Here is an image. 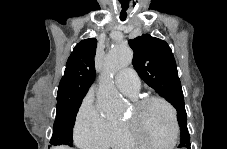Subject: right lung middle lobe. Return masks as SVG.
Wrapping results in <instances>:
<instances>
[{
	"mask_svg": "<svg viewBox=\"0 0 227 149\" xmlns=\"http://www.w3.org/2000/svg\"><path fill=\"white\" fill-rule=\"evenodd\" d=\"M82 99L83 98L57 103L56 119L53 126L52 138L50 140L52 145H73V126Z\"/></svg>",
	"mask_w": 227,
	"mask_h": 149,
	"instance_id": "dd1d6c3e",
	"label": "right lung middle lobe"
}]
</instances>
